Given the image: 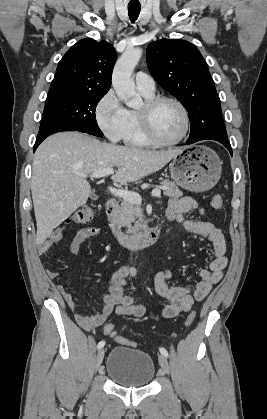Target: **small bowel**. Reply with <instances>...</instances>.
<instances>
[{
	"label": "small bowel",
	"instance_id": "obj_1",
	"mask_svg": "<svg viewBox=\"0 0 267 419\" xmlns=\"http://www.w3.org/2000/svg\"><path fill=\"white\" fill-rule=\"evenodd\" d=\"M192 211H198L204 215V209L200 208L193 198H173L169 202L166 217L170 221L179 222L187 231L208 238L213 245V259L208 267L201 270L202 280L196 284L193 290L177 284L169 285L168 281L174 278L173 271H159L154 277V288L158 295L169 301V304L158 314L150 313L154 318H172L182 312L190 311L194 301L203 300L212 287L221 281L223 270L228 264L226 243L221 230L209 220L196 221L185 218V215ZM64 230L65 226L56 228L45 241L39 244L38 253L40 255L45 253L54 243L59 242L63 237ZM100 233L101 229L97 226L79 230L71 241V252L76 254L87 239L98 236ZM47 274L52 279L58 275L53 270H47ZM135 275L136 269L132 266H122L110 275L106 280L108 292L102 295L103 307L93 316H87L83 308L77 309L72 295L63 285L57 284L56 288L68 307L74 311L77 323L85 330H92L104 324L112 313L136 318L147 314L144 305L135 303L133 298L124 292L127 280Z\"/></svg>",
	"mask_w": 267,
	"mask_h": 419
}]
</instances>
